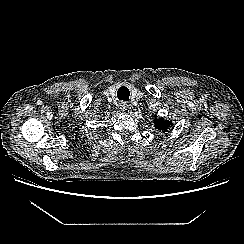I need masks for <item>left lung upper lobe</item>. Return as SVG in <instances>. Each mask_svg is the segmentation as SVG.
Masks as SVG:
<instances>
[{
  "mask_svg": "<svg viewBox=\"0 0 244 244\" xmlns=\"http://www.w3.org/2000/svg\"><path fill=\"white\" fill-rule=\"evenodd\" d=\"M156 118V116H154ZM155 128L159 131H166L171 123L168 120H163V119H155L154 120Z\"/></svg>",
  "mask_w": 244,
  "mask_h": 244,
  "instance_id": "obj_1",
  "label": "left lung upper lobe"
}]
</instances>
